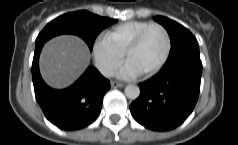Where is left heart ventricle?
Instances as JSON below:
<instances>
[{"label": "left heart ventricle", "mask_w": 238, "mask_h": 145, "mask_svg": "<svg viewBox=\"0 0 238 145\" xmlns=\"http://www.w3.org/2000/svg\"><path fill=\"white\" fill-rule=\"evenodd\" d=\"M166 46L165 35L159 28H152L141 44L127 57L135 68L143 74L152 69L161 59Z\"/></svg>", "instance_id": "left-heart-ventricle-1"}]
</instances>
